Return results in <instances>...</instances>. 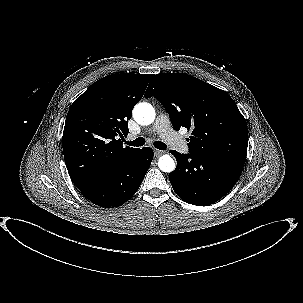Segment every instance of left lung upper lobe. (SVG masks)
<instances>
[{"label":"left lung upper lobe","mask_w":303,"mask_h":303,"mask_svg":"<svg viewBox=\"0 0 303 303\" xmlns=\"http://www.w3.org/2000/svg\"><path fill=\"white\" fill-rule=\"evenodd\" d=\"M152 96L176 130H192L189 152L246 159L247 123L227 92L185 73H160L146 90Z\"/></svg>","instance_id":"obj_1"}]
</instances>
